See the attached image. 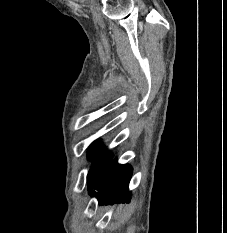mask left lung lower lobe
Masks as SVG:
<instances>
[{
  "mask_svg": "<svg viewBox=\"0 0 227 233\" xmlns=\"http://www.w3.org/2000/svg\"><path fill=\"white\" fill-rule=\"evenodd\" d=\"M131 175L132 168L130 165H120L117 164L116 159L111 160L97 189L98 192L91 193V195L98 199L99 205L113 204L117 201L128 202L131 196L128 191Z\"/></svg>",
  "mask_w": 227,
  "mask_h": 233,
  "instance_id": "obj_1",
  "label": "left lung lower lobe"
}]
</instances>
